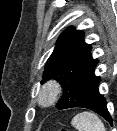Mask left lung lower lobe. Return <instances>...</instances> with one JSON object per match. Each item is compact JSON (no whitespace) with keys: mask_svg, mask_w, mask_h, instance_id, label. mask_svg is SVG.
<instances>
[{"mask_svg":"<svg viewBox=\"0 0 117 131\" xmlns=\"http://www.w3.org/2000/svg\"><path fill=\"white\" fill-rule=\"evenodd\" d=\"M99 82L100 78L93 74L87 84L82 88L70 89L67 92V95L70 96L67 108L83 107L90 109L102 116L112 125V118L107 110L106 100L98 90Z\"/></svg>","mask_w":117,"mask_h":131,"instance_id":"1","label":"left lung lower lobe"}]
</instances>
